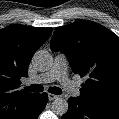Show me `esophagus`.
Listing matches in <instances>:
<instances>
[{
  "label": "esophagus",
  "mask_w": 119,
  "mask_h": 119,
  "mask_svg": "<svg viewBox=\"0 0 119 119\" xmlns=\"http://www.w3.org/2000/svg\"><path fill=\"white\" fill-rule=\"evenodd\" d=\"M58 97H59L58 95H54V94H51V93L48 94L49 101H52L54 99H57Z\"/></svg>",
  "instance_id": "34e87169"
}]
</instances>
